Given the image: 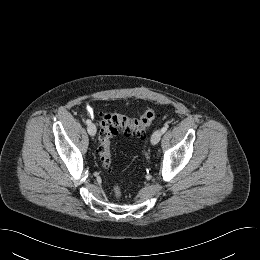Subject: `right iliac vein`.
Returning <instances> with one entry per match:
<instances>
[{"mask_svg": "<svg viewBox=\"0 0 260 260\" xmlns=\"http://www.w3.org/2000/svg\"><path fill=\"white\" fill-rule=\"evenodd\" d=\"M87 130L90 136H94L96 134V126L93 123L88 125Z\"/></svg>", "mask_w": 260, "mask_h": 260, "instance_id": "obj_1", "label": "right iliac vein"}]
</instances>
